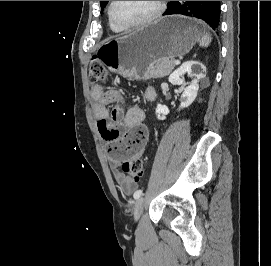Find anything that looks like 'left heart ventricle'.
Wrapping results in <instances>:
<instances>
[{"label":"left heart ventricle","instance_id":"1","mask_svg":"<svg viewBox=\"0 0 271 266\" xmlns=\"http://www.w3.org/2000/svg\"><path fill=\"white\" fill-rule=\"evenodd\" d=\"M156 1H116L113 12L122 23H136L148 17L155 10Z\"/></svg>","mask_w":271,"mask_h":266}]
</instances>
